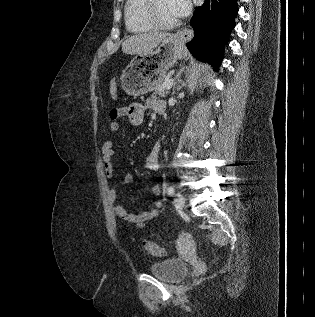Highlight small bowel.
Listing matches in <instances>:
<instances>
[{
	"label": "small bowel",
	"mask_w": 315,
	"mask_h": 317,
	"mask_svg": "<svg viewBox=\"0 0 315 317\" xmlns=\"http://www.w3.org/2000/svg\"><path fill=\"white\" fill-rule=\"evenodd\" d=\"M151 109L160 114H163L166 109V104L163 100L149 98L144 103H132L128 106L115 107L110 110V123L109 131L115 132L119 129L118 120L121 117H128L130 123L133 126H140L145 117L146 110ZM159 152L160 144L156 143L151 149L150 153L146 157L145 167L151 171H158L159 164ZM102 160L104 164L105 174L108 178H112L114 175V148L113 142L107 140L104 142L102 150ZM134 181V177L131 174H127L124 177V184H131ZM161 185L155 184L152 186V193L159 195L161 193ZM109 198L114 203V212L116 216L126 222L134 223L137 228H145L147 222L155 218L159 210L162 207L161 200H154L153 207L147 211L130 212L123 205L116 204V191L111 189L109 192Z\"/></svg>",
	"instance_id": "obj_1"
}]
</instances>
